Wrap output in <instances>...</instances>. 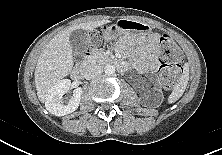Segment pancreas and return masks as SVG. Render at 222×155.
<instances>
[{
	"label": "pancreas",
	"mask_w": 222,
	"mask_h": 155,
	"mask_svg": "<svg viewBox=\"0 0 222 155\" xmlns=\"http://www.w3.org/2000/svg\"><path fill=\"white\" fill-rule=\"evenodd\" d=\"M110 58L109 56L103 52V51H100V50H96L94 52V61L97 62V63H105L107 61H109Z\"/></svg>",
	"instance_id": "1"
}]
</instances>
